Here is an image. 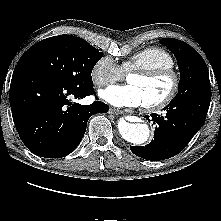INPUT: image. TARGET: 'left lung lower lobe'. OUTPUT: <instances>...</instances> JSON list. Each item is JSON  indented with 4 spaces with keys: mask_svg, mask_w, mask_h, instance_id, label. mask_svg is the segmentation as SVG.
Returning a JSON list of instances; mask_svg holds the SVG:
<instances>
[{
    "mask_svg": "<svg viewBox=\"0 0 221 221\" xmlns=\"http://www.w3.org/2000/svg\"><path fill=\"white\" fill-rule=\"evenodd\" d=\"M211 91L182 102H170L166 116L151 114L156 125L154 140L146 146H131V151L147 160H164L177 155L203 126L209 109ZM149 120V116H146Z\"/></svg>",
    "mask_w": 221,
    "mask_h": 221,
    "instance_id": "1",
    "label": "left lung lower lobe"
}]
</instances>
